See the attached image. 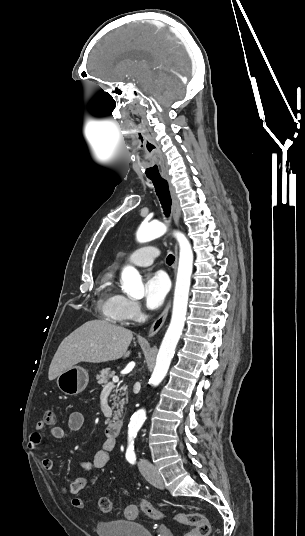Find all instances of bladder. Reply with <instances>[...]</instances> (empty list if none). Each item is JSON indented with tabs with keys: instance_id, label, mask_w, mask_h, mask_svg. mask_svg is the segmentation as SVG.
<instances>
[{
	"instance_id": "1",
	"label": "bladder",
	"mask_w": 305,
	"mask_h": 536,
	"mask_svg": "<svg viewBox=\"0 0 305 536\" xmlns=\"http://www.w3.org/2000/svg\"><path fill=\"white\" fill-rule=\"evenodd\" d=\"M97 536H153L148 528L132 519L115 518L110 521H97L94 525Z\"/></svg>"
}]
</instances>
